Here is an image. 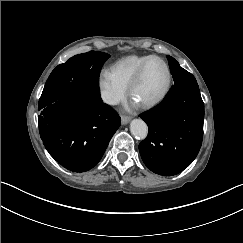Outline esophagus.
<instances>
[{"label": "esophagus", "mask_w": 243, "mask_h": 243, "mask_svg": "<svg viewBox=\"0 0 243 243\" xmlns=\"http://www.w3.org/2000/svg\"><path fill=\"white\" fill-rule=\"evenodd\" d=\"M130 120H131V118L129 116H122L121 117V123L123 125H126Z\"/></svg>", "instance_id": "34e87169"}]
</instances>
